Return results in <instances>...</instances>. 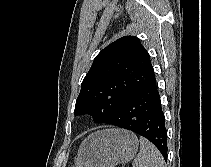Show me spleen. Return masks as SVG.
<instances>
[{"label":"spleen","mask_w":211,"mask_h":167,"mask_svg":"<svg viewBox=\"0 0 211 167\" xmlns=\"http://www.w3.org/2000/svg\"><path fill=\"white\" fill-rule=\"evenodd\" d=\"M140 152L133 161V167H166L163 156L157 148L144 137H140Z\"/></svg>","instance_id":"spleen-1"}]
</instances>
